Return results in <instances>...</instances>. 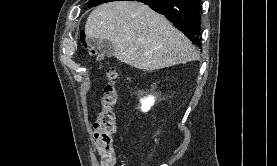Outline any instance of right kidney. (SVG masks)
Here are the masks:
<instances>
[{"label": "right kidney", "mask_w": 277, "mask_h": 166, "mask_svg": "<svg viewBox=\"0 0 277 166\" xmlns=\"http://www.w3.org/2000/svg\"><path fill=\"white\" fill-rule=\"evenodd\" d=\"M141 110L146 112L150 109V107L154 104V97L153 96H148L144 99H141Z\"/></svg>", "instance_id": "right-kidney-1"}]
</instances>
